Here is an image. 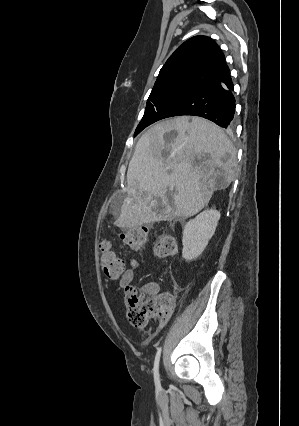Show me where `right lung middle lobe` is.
<instances>
[{
	"label": "right lung middle lobe",
	"instance_id": "dd1d6c3e",
	"mask_svg": "<svg viewBox=\"0 0 299 426\" xmlns=\"http://www.w3.org/2000/svg\"><path fill=\"white\" fill-rule=\"evenodd\" d=\"M197 86L187 83H168L154 86L147 101L145 113L134 136L145 127L159 120L161 114L177 100L194 90Z\"/></svg>",
	"mask_w": 299,
	"mask_h": 426
}]
</instances>
